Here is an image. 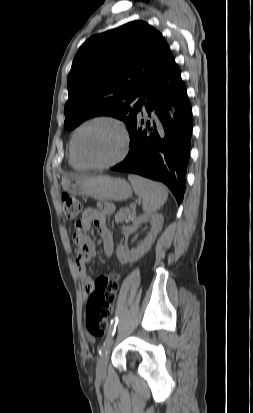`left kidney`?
<instances>
[{"label":"left kidney","mask_w":253,"mask_h":413,"mask_svg":"<svg viewBox=\"0 0 253 413\" xmlns=\"http://www.w3.org/2000/svg\"><path fill=\"white\" fill-rule=\"evenodd\" d=\"M163 216L161 214H143L133 221V226L138 227L143 223L149 222L151 224V230L147 237L141 242L134 250L129 251L125 249L122 242L117 247V258L122 264L133 263L140 259L147 251L150 250L151 245L155 241L158 233L163 226Z\"/></svg>","instance_id":"obj_1"}]
</instances>
